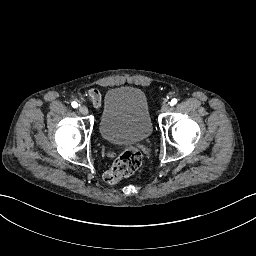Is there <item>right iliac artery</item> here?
Here are the masks:
<instances>
[{"label":"right iliac artery","instance_id":"obj_1","mask_svg":"<svg viewBox=\"0 0 256 256\" xmlns=\"http://www.w3.org/2000/svg\"><path fill=\"white\" fill-rule=\"evenodd\" d=\"M71 105H72L73 108H77V107H78V103L75 102V101H73V102L71 103Z\"/></svg>","mask_w":256,"mask_h":256}]
</instances>
